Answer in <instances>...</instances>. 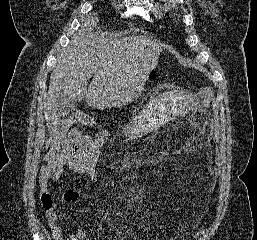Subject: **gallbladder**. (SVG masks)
Wrapping results in <instances>:
<instances>
[{"label":"gallbladder","instance_id":"obj_1","mask_svg":"<svg viewBox=\"0 0 257 240\" xmlns=\"http://www.w3.org/2000/svg\"><path fill=\"white\" fill-rule=\"evenodd\" d=\"M76 102L74 101H69L63 93L59 95L57 98L54 111L61 116H66L72 113L73 111L76 110Z\"/></svg>","mask_w":257,"mask_h":240}]
</instances>
